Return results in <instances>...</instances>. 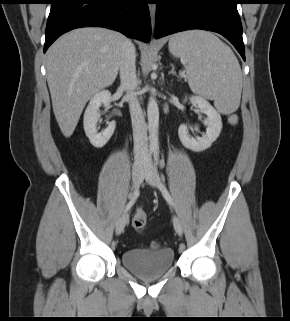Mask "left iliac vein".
<instances>
[{
    "instance_id": "obj_1",
    "label": "left iliac vein",
    "mask_w": 290,
    "mask_h": 321,
    "mask_svg": "<svg viewBox=\"0 0 290 321\" xmlns=\"http://www.w3.org/2000/svg\"><path fill=\"white\" fill-rule=\"evenodd\" d=\"M144 178L146 182L151 185L152 187H159V176L157 174L156 169L154 168L152 161L149 159L144 167L143 171ZM173 226L175 231L182 235L183 227L181 224L180 219L177 216H173Z\"/></svg>"
}]
</instances>
